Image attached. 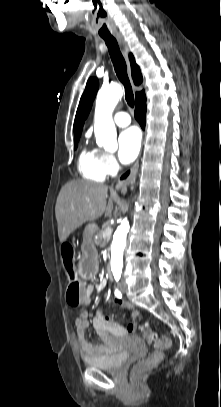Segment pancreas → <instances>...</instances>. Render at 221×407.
Here are the masks:
<instances>
[{
  "label": "pancreas",
  "mask_w": 221,
  "mask_h": 407,
  "mask_svg": "<svg viewBox=\"0 0 221 407\" xmlns=\"http://www.w3.org/2000/svg\"><path fill=\"white\" fill-rule=\"evenodd\" d=\"M103 232H104V230L99 231L98 232L99 238L95 240V244L98 245V246L103 245Z\"/></svg>",
  "instance_id": "cf45deb5"
}]
</instances>
